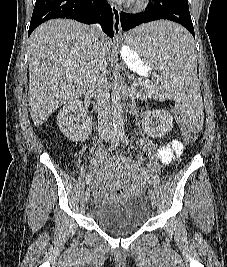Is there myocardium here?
<instances>
[{"label": "myocardium", "mask_w": 227, "mask_h": 267, "mask_svg": "<svg viewBox=\"0 0 227 267\" xmlns=\"http://www.w3.org/2000/svg\"><path fill=\"white\" fill-rule=\"evenodd\" d=\"M148 0H135L134 7L136 9H142L147 5Z\"/></svg>", "instance_id": "myocardium-1"}]
</instances>
